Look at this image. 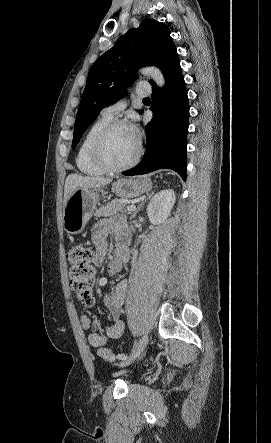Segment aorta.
Wrapping results in <instances>:
<instances>
[{"instance_id":"aorta-1","label":"aorta","mask_w":271,"mask_h":443,"mask_svg":"<svg viewBox=\"0 0 271 443\" xmlns=\"http://www.w3.org/2000/svg\"><path fill=\"white\" fill-rule=\"evenodd\" d=\"M139 72L141 76H147V78H152V80L156 82L158 88H163V86H165V78L161 70H158V68H154V66H151V68H141Z\"/></svg>"}]
</instances>
